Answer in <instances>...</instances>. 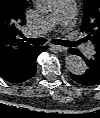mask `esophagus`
Returning a JSON list of instances; mask_svg holds the SVG:
<instances>
[{"label":"esophagus","mask_w":100,"mask_h":118,"mask_svg":"<svg viewBox=\"0 0 100 118\" xmlns=\"http://www.w3.org/2000/svg\"><path fill=\"white\" fill-rule=\"evenodd\" d=\"M50 47L56 51H59V52H64L66 51V48L63 47V46H59V45H50Z\"/></svg>","instance_id":"obj_1"}]
</instances>
